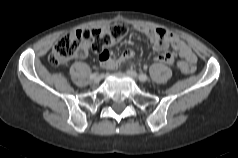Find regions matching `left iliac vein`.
I'll return each instance as SVG.
<instances>
[{
  "mask_svg": "<svg viewBox=\"0 0 238 158\" xmlns=\"http://www.w3.org/2000/svg\"><path fill=\"white\" fill-rule=\"evenodd\" d=\"M127 74L130 76V77H132L133 79H137V73L135 72V71H133V70H128L127 71Z\"/></svg>",
  "mask_w": 238,
  "mask_h": 158,
  "instance_id": "left-iliac-vein-1",
  "label": "left iliac vein"
}]
</instances>
